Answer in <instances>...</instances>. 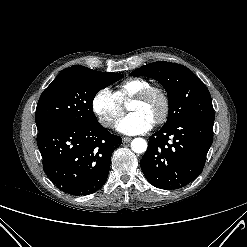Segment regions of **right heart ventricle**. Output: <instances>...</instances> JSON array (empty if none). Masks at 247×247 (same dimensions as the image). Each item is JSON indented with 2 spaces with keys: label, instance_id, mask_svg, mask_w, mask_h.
Masks as SVG:
<instances>
[{
  "label": "right heart ventricle",
  "instance_id": "obj_1",
  "mask_svg": "<svg viewBox=\"0 0 247 247\" xmlns=\"http://www.w3.org/2000/svg\"><path fill=\"white\" fill-rule=\"evenodd\" d=\"M151 86V83L142 78H128L122 81L116 88L114 94L123 104L133 98L143 89Z\"/></svg>",
  "mask_w": 247,
  "mask_h": 247
}]
</instances>
